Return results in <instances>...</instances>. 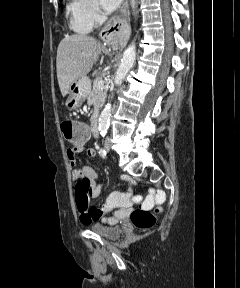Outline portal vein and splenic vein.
Wrapping results in <instances>:
<instances>
[{"label": "portal vein and splenic vein", "instance_id": "18ae733b", "mask_svg": "<svg viewBox=\"0 0 240 288\" xmlns=\"http://www.w3.org/2000/svg\"><path fill=\"white\" fill-rule=\"evenodd\" d=\"M104 88V81L103 79L101 78L99 81H98V89L102 90Z\"/></svg>", "mask_w": 240, "mask_h": 288}]
</instances>
